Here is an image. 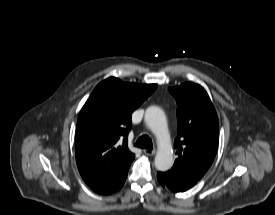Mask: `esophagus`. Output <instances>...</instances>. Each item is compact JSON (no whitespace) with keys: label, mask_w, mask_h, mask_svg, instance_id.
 Listing matches in <instances>:
<instances>
[{"label":"esophagus","mask_w":275,"mask_h":215,"mask_svg":"<svg viewBox=\"0 0 275 215\" xmlns=\"http://www.w3.org/2000/svg\"><path fill=\"white\" fill-rule=\"evenodd\" d=\"M143 153L147 156H152L156 153V150L155 149H144Z\"/></svg>","instance_id":"1"}]
</instances>
